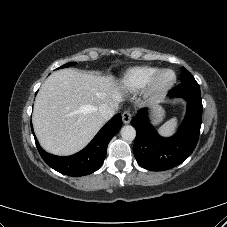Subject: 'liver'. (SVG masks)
Here are the masks:
<instances>
[{
  "label": "liver",
  "instance_id": "liver-1",
  "mask_svg": "<svg viewBox=\"0 0 227 227\" xmlns=\"http://www.w3.org/2000/svg\"><path fill=\"white\" fill-rule=\"evenodd\" d=\"M122 93L112 76L62 69L52 73L40 88L33 111V127L41 146L56 155L84 148L107 121L101 104L115 111Z\"/></svg>",
  "mask_w": 227,
  "mask_h": 227
}]
</instances>
